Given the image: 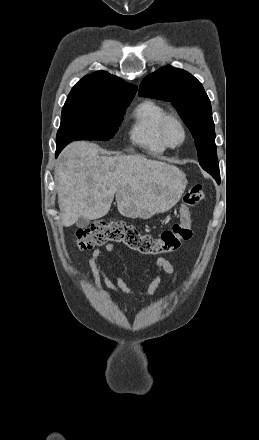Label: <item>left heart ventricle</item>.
Segmentation results:
<instances>
[{
  "label": "left heart ventricle",
  "mask_w": 259,
  "mask_h": 440,
  "mask_svg": "<svg viewBox=\"0 0 259 440\" xmlns=\"http://www.w3.org/2000/svg\"><path fill=\"white\" fill-rule=\"evenodd\" d=\"M183 134L180 127L175 123H169L167 127V138L170 143L177 144L182 140Z\"/></svg>",
  "instance_id": "obj_1"
}]
</instances>
